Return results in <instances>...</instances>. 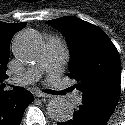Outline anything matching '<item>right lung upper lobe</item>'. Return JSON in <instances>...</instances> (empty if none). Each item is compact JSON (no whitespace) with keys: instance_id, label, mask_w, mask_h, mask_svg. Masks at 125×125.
<instances>
[{"instance_id":"1","label":"right lung upper lobe","mask_w":125,"mask_h":125,"mask_svg":"<svg viewBox=\"0 0 125 125\" xmlns=\"http://www.w3.org/2000/svg\"><path fill=\"white\" fill-rule=\"evenodd\" d=\"M26 23H4L0 21V96L6 92L3 88L5 84H3V80L7 78L6 70L7 63L10 56V42L13 35L23 27H25Z\"/></svg>"}]
</instances>
